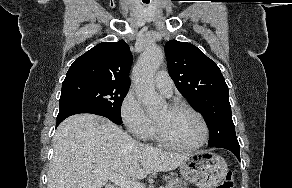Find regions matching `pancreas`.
<instances>
[{
	"label": "pancreas",
	"instance_id": "obj_1",
	"mask_svg": "<svg viewBox=\"0 0 292 188\" xmlns=\"http://www.w3.org/2000/svg\"><path fill=\"white\" fill-rule=\"evenodd\" d=\"M168 185L165 188H187V183L177 177L167 176Z\"/></svg>",
	"mask_w": 292,
	"mask_h": 188
}]
</instances>
